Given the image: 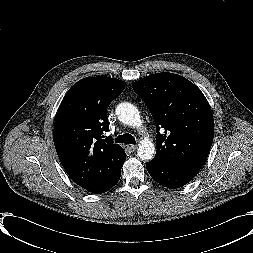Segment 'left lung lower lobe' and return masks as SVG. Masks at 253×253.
I'll list each match as a JSON object with an SVG mask.
<instances>
[{"label":"left lung lower lobe","mask_w":253,"mask_h":253,"mask_svg":"<svg viewBox=\"0 0 253 253\" xmlns=\"http://www.w3.org/2000/svg\"><path fill=\"white\" fill-rule=\"evenodd\" d=\"M150 176L167 188H179L190 182L201 167L192 165L165 164L150 161L146 164Z\"/></svg>","instance_id":"obj_1"}]
</instances>
